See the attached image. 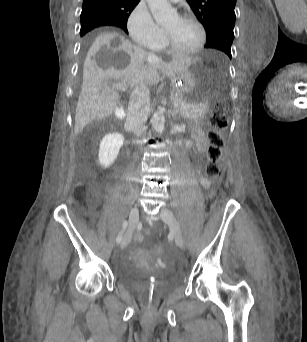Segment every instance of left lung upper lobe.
I'll list each match as a JSON object with an SVG mask.
<instances>
[{
  "instance_id": "1",
  "label": "left lung upper lobe",
  "mask_w": 307,
  "mask_h": 342,
  "mask_svg": "<svg viewBox=\"0 0 307 342\" xmlns=\"http://www.w3.org/2000/svg\"><path fill=\"white\" fill-rule=\"evenodd\" d=\"M187 2L206 30L205 47L221 50L231 58L236 0H187Z\"/></svg>"
}]
</instances>
